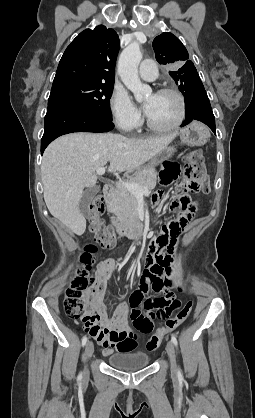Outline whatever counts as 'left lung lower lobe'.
Instances as JSON below:
<instances>
[{
    "instance_id": "0a47b994",
    "label": "left lung lower lobe",
    "mask_w": 255,
    "mask_h": 418,
    "mask_svg": "<svg viewBox=\"0 0 255 418\" xmlns=\"http://www.w3.org/2000/svg\"><path fill=\"white\" fill-rule=\"evenodd\" d=\"M185 121L181 126L189 124L192 120H198L215 131V118L211 109L209 98L205 89H201L185 96Z\"/></svg>"
}]
</instances>
